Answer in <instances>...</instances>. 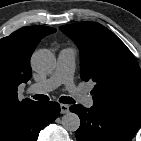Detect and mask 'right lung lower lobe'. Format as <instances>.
Listing matches in <instances>:
<instances>
[{
	"label": "right lung lower lobe",
	"instance_id": "1",
	"mask_svg": "<svg viewBox=\"0 0 141 141\" xmlns=\"http://www.w3.org/2000/svg\"><path fill=\"white\" fill-rule=\"evenodd\" d=\"M59 113L56 102H35L0 125V141H37L39 132Z\"/></svg>",
	"mask_w": 141,
	"mask_h": 141
}]
</instances>
